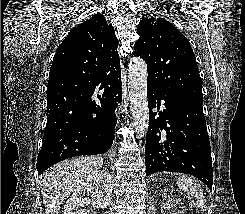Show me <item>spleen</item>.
Returning <instances> with one entry per match:
<instances>
[{"instance_id": "3e777b00", "label": "spleen", "mask_w": 245, "mask_h": 214, "mask_svg": "<svg viewBox=\"0 0 245 214\" xmlns=\"http://www.w3.org/2000/svg\"><path fill=\"white\" fill-rule=\"evenodd\" d=\"M177 185L185 193L196 198L199 207L204 208L206 206L203 190L197 179L188 175H180Z\"/></svg>"}]
</instances>
